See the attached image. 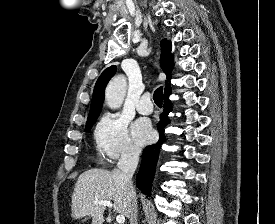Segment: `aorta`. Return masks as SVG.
I'll return each mask as SVG.
<instances>
[{"label": "aorta", "mask_w": 275, "mask_h": 224, "mask_svg": "<svg viewBox=\"0 0 275 224\" xmlns=\"http://www.w3.org/2000/svg\"><path fill=\"white\" fill-rule=\"evenodd\" d=\"M127 90V81L125 76L119 75L114 77L108 84L105 92L107 105L111 109L121 107Z\"/></svg>", "instance_id": "obj_1"}]
</instances>
